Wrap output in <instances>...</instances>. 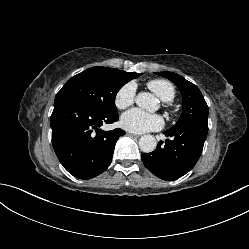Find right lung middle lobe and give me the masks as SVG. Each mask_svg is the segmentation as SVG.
Here are the masks:
<instances>
[{"instance_id": "obj_1", "label": "right lung middle lobe", "mask_w": 249, "mask_h": 249, "mask_svg": "<svg viewBox=\"0 0 249 249\" xmlns=\"http://www.w3.org/2000/svg\"><path fill=\"white\" fill-rule=\"evenodd\" d=\"M140 75L137 74L138 77ZM131 79L125 71L93 67L69 79L56 98L68 97L94 112L114 114L117 113L114 103L116 94Z\"/></svg>"}]
</instances>
